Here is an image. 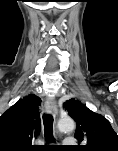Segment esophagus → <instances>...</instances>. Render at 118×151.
I'll list each match as a JSON object with an SVG mask.
<instances>
[{
  "label": "esophagus",
  "mask_w": 118,
  "mask_h": 151,
  "mask_svg": "<svg viewBox=\"0 0 118 151\" xmlns=\"http://www.w3.org/2000/svg\"><path fill=\"white\" fill-rule=\"evenodd\" d=\"M45 108H46V111L48 113L52 114L53 116L57 115L58 108H57V104L54 100L48 99L45 102Z\"/></svg>",
  "instance_id": "1"
}]
</instances>
